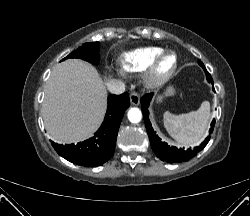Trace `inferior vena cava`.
<instances>
[{"mask_svg":"<svg viewBox=\"0 0 250 216\" xmlns=\"http://www.w3.org/2000/svg\"><path fill=\"white\" fill-rule=\"evenodd\" d=\"M107 90L113 94L119 95L125 92V84L118 80H110L106 83Z\"/></svg>","mask_w":250,"mask_h":216,"instance_id":"602c4592","label":"inferior vena cava"}]
</instances>
